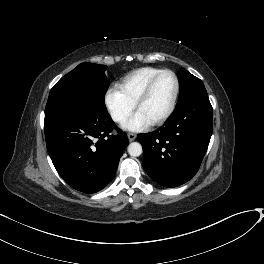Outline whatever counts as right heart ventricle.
I'll use <instances>...</instances> for the list:
<instances>
[{
	"instance_id": "1",
	"label": "right heart ventricle",
	"mask_w": 264,
	"mask_h": 264,
	"mask_svg": "<svg viewBox=\"0 0 264 264\" xmlns=\"http://www.w3.org/2000/svg\"><path fill=\"white\" fill-rule=\"evenodd\" d=\"M161 70L155 67L136 69L125 75L118 84V87L135 104L149 80Z\"/></svg>"
}]
</instances>
